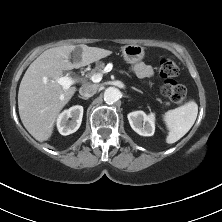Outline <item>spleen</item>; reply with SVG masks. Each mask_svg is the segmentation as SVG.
<instances>
[{
    "label": "spleen",
    "instance_id": "spleen-1",
    "mask_svg": "<svg viewBox=\"0 0 222 222\" xmlns=\"http://www.w3.org/2000/svg\"><path fill=\"white\" fill-rule=\"evenodd\" d=\"M198 114V105L191 100L184 105L167 111L164 122L169 130L166 142L172 144L180 140L193 126Z\"/></svg>",
    "mask_w": 222,
    "mask_h": 222
}]
</instances>
